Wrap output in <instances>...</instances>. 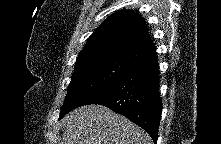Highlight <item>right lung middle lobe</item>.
<instances>
[{
	"instance_id": "right-lung-middle-lobe-1",
	"label": "right lung middle lobe",
	"mask_w": 221,
	"mask_h": 144,
	"mask_svg": "<svg viewBox=\"0 0 221 144\" xmlns=\"http://www.w3.org/2000/svg\"><path fill=\"white\" fill-rule=\"evenodd\" d=\"M143 58L137 54L108 51L77 60L60 118L84 105L92 96L118 81Z\"/></svg>"
}]
</instances>
